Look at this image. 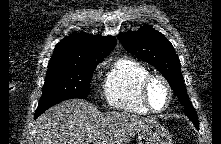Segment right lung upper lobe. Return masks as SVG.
<instances>
[{"label": "right lung upper lobe", "instance_id": "1", "mask_svg": "<svg viewBox=\"0 0 221 144\" xmlns=\"http://www.w3.org/2000/svg\"><path fill=\"white\" fill-rule=\"evenodd\" d=\"M115 45L116 39L112 36L75 32L55 46L49 64L99 63L109 55Z\"/></svg>", "mask_w": 221, "mask_h": 144}]
</instances>
